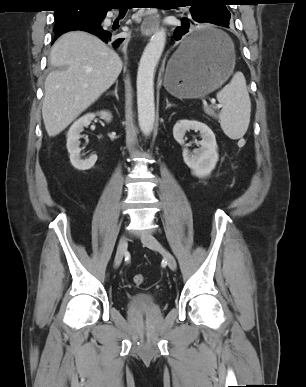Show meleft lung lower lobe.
I'll list each match as a JSON object with an SVG mask.
<instances>
[{
  "mask_svg": "<svg viewBox=\"0 0 306 387\" xmlns=\"http://www.w3.org/2000/svg\"><path fill=\"white\" fill-rule=\"evenodd\" d=\"M198 23H211L229 28L228 23H213L205 14L201 12H199L198 15L191 13L189 17H183L181 19V25L174 31V38L176 40H180L183 35L191 32L192 28L197 26ZM215 40V33L210 31H199L191 36L186 35V38L181 46L182 55L184 57H194L197 54L208 50L213 45Z\"/></svg>",
  "mask_w": 306,
  "mask_h": 387,
  "instance_id": "obj_1",
  "label": "left lung lower lobe"
}]
</instances>
